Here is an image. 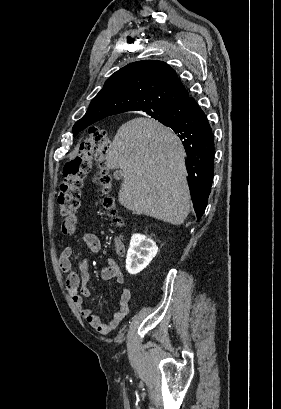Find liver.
Here are the masks:
<instances>
[{"instance_id":"1","label":"liver","mask_w":281,"mask_h":409,"mask_svg":"<svg viewBox=\"0 0 281 409\" xmlns=\"http://www.w3.org/2000/svg\"><path fill=\"white\" fill-rule=\"evenodd\" d=\"M108 168H122L119 202L135 213L182 225L190 211L183 146L154 118H132L118 128L106 154Z\"/></svg>"}]
</instances>
